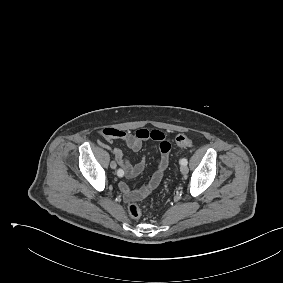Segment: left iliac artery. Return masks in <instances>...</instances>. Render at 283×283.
<instances>
[{"label":"left iliac artery","instance_id":"left-iliac-artery-1","mask_svg":"<svg viewBox=\"0 0 283 283\" xmlns=\"http://www.w3.org/2000/svg\"><path fill=\"white\" fill-rule=\"evenodd\" d=\"M188 161L186 158L181 159L180 164L181 165H187Z\"/></svg>","mask_w":283,"mask_h":283}]
</instances>
